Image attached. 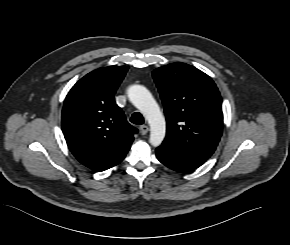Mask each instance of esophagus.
<instances>
[{
	"instance_id": "obj_1",
	"label": "esophagus",
	"mask_w": 290,
	"mask_h": 245,
	"mask_svg": "<svg viewBox=\"0 0 290 245\" xmlns=\"http://www.w3.org/2000/svg\"><path fill=\"white\" fill-rule=\"evenodd\" d=\"M148 131H149V127H148L147 125H142V126H140V133H141L142 135L147 134Z\"/></svg>"
}]
</instances>
